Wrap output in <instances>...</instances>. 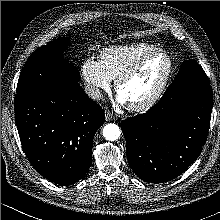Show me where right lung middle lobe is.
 Here are the masks:
<instances>
[{
	"mask_svg": "<svg viewBox=\"0 0 220 220\" xmlns=\"http://www.w3.org/2000/svg\"><path fill=\"white\" fill-rule=\"evenodd\" d=\"M69 41V37L59 38L36 49L22 69L16 92L78 82L80 75L77 68L62 58Z\"/></svg>",
	"mask_w": 220,
	"mask_h": 220,
	"instance_id": "obj_1",
	"label": "right lung middle lobe"
}]
</instances>
